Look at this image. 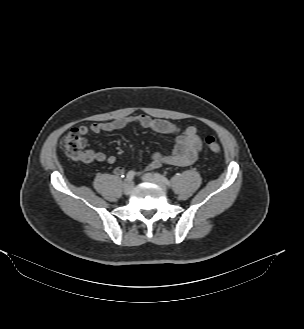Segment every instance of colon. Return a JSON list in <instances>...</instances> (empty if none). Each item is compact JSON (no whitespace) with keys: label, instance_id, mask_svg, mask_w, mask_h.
<instances>
[{"label":"colon","instance_id":"5ec220e1","mask_svg":"<svg viewBox=\"0 0 304 329\" xmlns=\"http://www.w3.org/2000/svg\"><path fill=\"white\" fill-rule=\"evenodd\" d=\"M207 148L213 153H219L221 147L213 136L205 138ZM64 152L72 160H80L84 154L85 139L79 128H71L63 138Z\"/></svg>","mask_w":304,"mask_h":329}]
</instances>
